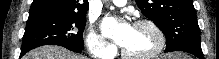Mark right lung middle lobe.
Returning <instances> with one entry per match:
<instances>
[{
	"mask_svg": "<svg viewBox=\"0 0 219 59\" xmlns=\"http://www.w3.org/2000/svg\"><path fill=\"white\" fill-rule=\"evenodd\" d=\"M86 14L29 13L21 54L43 45L84 48Z\"/></svg>",
	"mask_w": 219,
	"mask_h": 59,
	"instance_id": "1",
	"label": "right lung middle lobe"
}]
</instances>
